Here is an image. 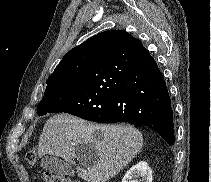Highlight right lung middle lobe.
Returning <instances> with one entry per match:
<instances>
[{
	"label": "right lung middle lobe",
	"instance_id": "obj_1",
	"mask_svg": "<svg viewBox=\"0 0 211 182\" xmlns=\"http://www.w3.org/2000/svg\"><path fill=\"white\" fill-rule=\"evenodd\" d=\"M88 62L67 66L47 79L44 97L37 106L39 116L53 113L58 102L69 98L80 86Z\"/></svg>",
	"mask_w": 211,
	"mask_h": 182
}]
</instances>
